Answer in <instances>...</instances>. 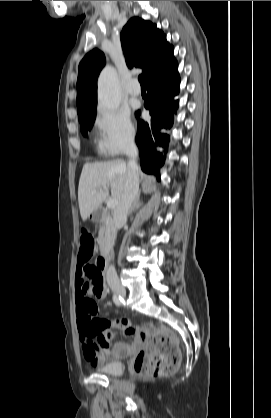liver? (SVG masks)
<instances>
[{"instance_id": "obj_1", "label": "liver", "mask_w": 271, "mask_h": 418, "mask_svg": "<svg viewBox=\"0 0 271 418\" xmlns=\"http://www.w3.org/2000/svg\"><path fill=\"white\" fill-rule=\"evenodd\" d=\"M138 176H145L137 167ZM128 164L123 160L86 163L78 187V202L82 220L97 210L108 198L105 187H111L112 199L120 201L127 179Z\"/></svg>"}]
</instances>
